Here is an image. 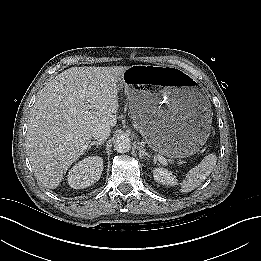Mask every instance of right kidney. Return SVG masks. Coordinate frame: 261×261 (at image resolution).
Masks as SVG:
<instances>
[{
    "mask_svg": "<svg viewBox=\"0 0 261 261\" xmlns=\"http://www.w3.org/2000/svg\"><path fill=\"white\" fill-rule=\"evenodd\" d=\"M103 171V159L87 157L75 164L68 172V184L74 189H83L96 183Z\"/></svg>",
    "mask_w": 261,
    "mask_h": 261,
    "instance_id": "ca27d5eb",
    "label": "right kidney"
}]
</instances>
